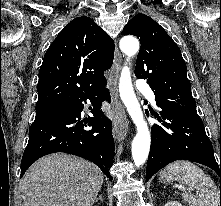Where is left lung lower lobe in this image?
<instances>
[{"instance_id": "left-lung-lower-lobe-1", "label": "left lung lower lobe", "mask_w": 221, "mask_h": 206, "mask_svg": "<svg viewBox=\"0 0 221 206\" xmlns=\"http://www.w3.org/2000/svg\"><path fill=\"white\" fill-rule=\"evenodd\" d=\"M157 106L161 108V117L155 115L160 125L154 124L151 128L146 180L167 164L182 159L210 167L221 180V162L219 165L215 160L211 141L198 114L168 110L158 104Z\"/></svg>"}]
</instances>
